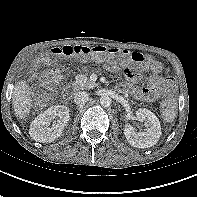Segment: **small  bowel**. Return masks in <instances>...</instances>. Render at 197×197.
<instances>
[{
  "mask_svg": "<svg viewBox=\"0 0 197 197\" xmlns=\"http://www.w3.org/2000/svg\"><path fill=\"white\" fill-rule=\"evenodd\" d=\"M129 63L128 61H121L126 78V82L119 86L122 91L130 92L139 100L155 101L162 97H168V100H173L172 95L175 91V86L170 78H163L161 76L163 71L161 62L154 61L151 63V75L147 79V85H138L139 77L131 69Z\"/></svg>",
  "mask_w": 197,
  "mask_h": 197,
  "instance_id": "c3829d8e",
  "label": "small bowel"
}]
</instances>
